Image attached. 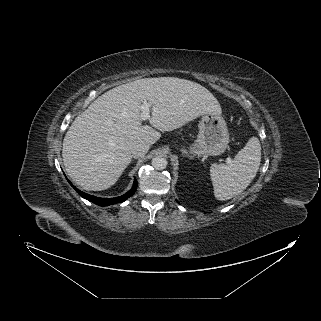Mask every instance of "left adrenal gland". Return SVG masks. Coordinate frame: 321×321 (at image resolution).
<instances>
[{
    "label": "left adrenal gland",
    "mask_w": 321,
    "mask_h": 321,
    "mask_svg": "<svg viewBox=\"0 0 321 321\" xmlns=\"http://www.w3.org/2000/svg\"><path fill=\"white\" fill-rule=\"evenodd\" d=\"M183 156H188L189 158H192L191 155L188 154L186 150H182Z\"/></svg>",
    "instance_id": "1"
}]
</instances>
